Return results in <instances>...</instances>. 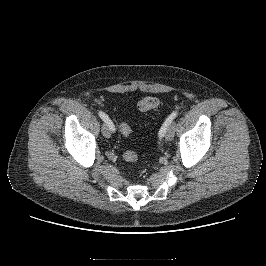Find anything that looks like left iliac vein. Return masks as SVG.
I'll list each match as a JSON object with an SVG mask.
<instances>
[{
    "mask_svg": "<svg viewBox=\"0 0 266 266\" xmlns=\"http://www.w3.org/2000/svg\"><path fill=\"white\" fill-rule=\"evenodd\" d=\"M175 131H174V127L170 126L169 128H167L166 133H165V139L168 141H171L174 137Z\"/></svg>",
    "mask_w": 266,
    "mask_h": 266,
    "instance_id": "4c4485c4",
    "label": "left iliac vein"
}]
</instances>
